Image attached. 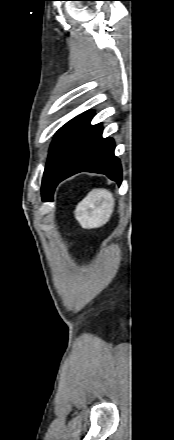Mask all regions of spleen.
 <instances>
[{
  "label": "spleen",
  "mask_w": 174,
  "mask_h": 440,
  "mask_svg": "<svg viewBox=\"0 0 174 440\" xmlns=\"http://www.w3.org/2000/svg\"><path fill=\"white\" fill-rule=\"evenodd\" d=\"M114 204L113 195L109 190L95 188L78 204L75 211L76 219L85 229L100 227L109 221Z\"/></svg>",
  "instance_id": "obj_1"
}]
</instances>
